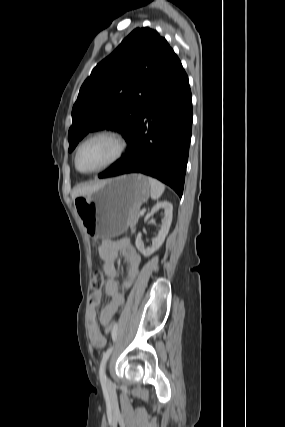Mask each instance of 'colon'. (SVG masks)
<instances>
[{"label": "colon", "mask_w": 285, "mask_h": 427, "mask_svg": "<svg viewBox=\"0 0 285 427\" xmlns=\"http://www.w3.org/2000/svg\"><path fill=\"white\" fill-rule=\"evenodd\" d=\"M104 284V275L100 270H97L93 273L91 278V288L93 290H99ZM106 333H114L116 331V325L108 324L105 328Z\"/></svg>", "instance_id": "obj_1"}]
</instances>
